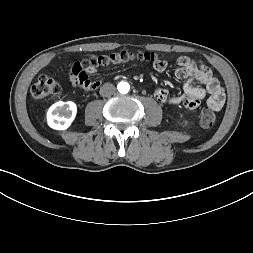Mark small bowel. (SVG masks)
I'll return each mask as SVG.
<instances>
[{
    "instance_id": "obj_1",
    "label": "small bowel",
    "mask_w": 253,
    "mask_h": 253,
    "mask_svg": "<svg viewBox=\"0 0 253 253\" xmlns=\"http://www.w3.org/2000/svg\"><path fill=\"white\" fill-rule=\"evenodd\" d=\"M177 63L176 76L186 79L183 93L170 97L166 89L157 88L154 91L155 99L159 102H168L174 105L181 104L184 109H194L199 106L208 94V105L215 110H220L225 102V94L212 72L205 66H198L187 57H180ZM172 66L173 61L171 59H166L164 62L155 60L150 63V68L157 72H162L165 67L171 68ZM194 81L202 83L204 88L195 86Z\"/></svg>"
}]
</instances>
